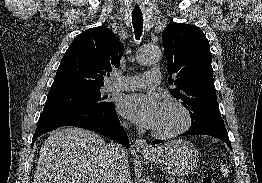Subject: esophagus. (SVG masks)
<instances>
[{"label":"esophagus","instance_id":"1","mask_svg":"<svg viewBox=\"0 0 262 183\" xmlns=\"http://www.w3.org/2000/svg\"><path fill=\"white\" fill-rule=\"evenodd\" d=\"M134 145H135V148L138 151H140V152H149V151H151V148L149 147L148 143L143 138H137L135 140Z\"/></svg>","mask_w":262,"mask_h":183}]
</instances>
